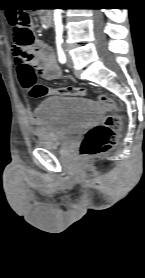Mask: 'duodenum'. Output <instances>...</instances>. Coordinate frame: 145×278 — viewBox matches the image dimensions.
Listing matches in <instances>:
<instances>
[{
    "label": "duodenum",
    "mask_w": 145,
    "mask_h": 278,
    "mask_svg": "<svg viewBox=\"0 0 145 278\" xmlns=\"http://www.w3.org/2000/svg\"><path fill=\"white\" fill-rule=\"evenodd\" d=\"M42 20L46 25L51 24V16L49 15L48 12L42 17Z\"/></svg>",
    "instance_id": "duodenum-1"
}]
</instances>
